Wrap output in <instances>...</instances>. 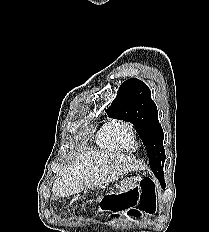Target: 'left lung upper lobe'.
<instances>
[{"instance_id":"5c2ea615","label":"left lung upper lobe","mask_w":209,"mask_h":232,"mask_svg":"<svg viewBox=\"0 0 209 232\" xmlns=\"http://www.w3.org/2000/svg\"><path fill=\"white\" fill-rule=\"evenodd\" d=\"M111 118L132 123L147 148L150 168L161 184L164 183V133L158 121L157 107L148 86L136 78L126 80L117 97L107 109Z\"/></svg>"}]
</instances>
